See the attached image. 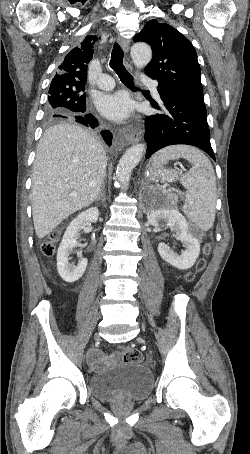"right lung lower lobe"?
Here are the masks:
<instances>
[{
  "mask_svg": "<svg viewBox=\"0 0 250 454\" xmlns=\"http://www.w3.org/2000/svg\"><path fill=\"white\" fill-rule=\"evenodd\" d=\"M86 108L79 113H75L72 116H64V118H75L78 123H81L85 126H91L92 128L98 126L97 119L92 114H84ZM103 139L110 146L112 143V134L108 130H103L101 132Z\"/></svg>",
  "mask_w": 250,
  "mask_h": 454,
  "instance_id": "98d812e1",
  "label": "right lung lower lobe"
}]
</instances>
